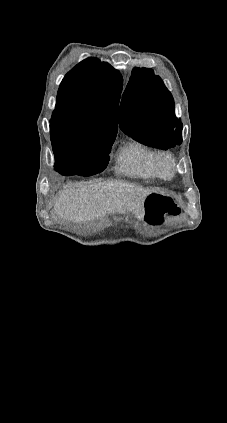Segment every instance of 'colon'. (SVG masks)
<instances>
[{"label": "colon", "mask_w": 227, "mask_h": 423, "mask_svg": "<svg viewBox=\"0 0 227 423\" xmlns=\"http://www.w3.org/2000/svg\"><path fill=\"white\" fill-rule=\"evenodd\" d=\"M146 217L150 222H160L164 215H176L180 212L178 206L164 192H152L146 199Z\"/></svg>", "instance_id": "colon-1"}]
</instances>
